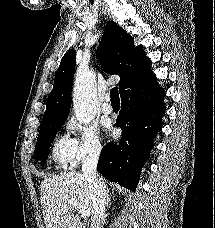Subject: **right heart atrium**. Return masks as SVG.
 I'll return each instance as SVG.
<instances>
[{
    "label": "right heart atrium",
    "instance_id": "d8ad5b80",
    "mask_svg": "<svg viewBox=\"0 0 215 228\" xmlns=\"http://www.w3.org/2000/svg\"><path fill=\"white\" fill-rule=\"evenodd\" d=\"M66 128L74 135V164H82L100 157L103 151V144L97 127L71 118L67 121Z\"/></svg>",
    "mask_w": 215,
    "mask_h": 228
}]
</instances>
